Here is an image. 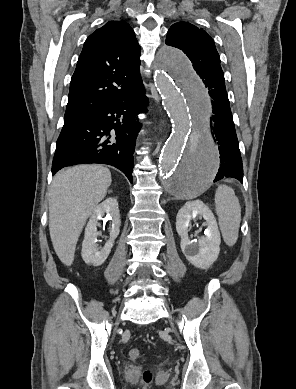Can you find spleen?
Returning <instances> with one entry per match:
<instances>
[{
	"instance_id": "obj_1",
	"label": "spleen",
	"mask_w": 296,
	"mask_h": 389,
	"mask_svg": "<svg viewBox=\"0 0 296 389\" xmlns=\"http://www.w3.org/2000/svg\"><path fill=\"white\" fill-rule=\"evenodd\" d=\"M215 208L223 239L228 246H233L238 239L241 207L231 187L220 185L217 188Z\"/></svg>"
}]
</instances>
